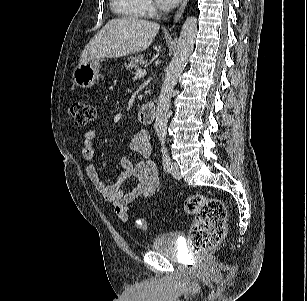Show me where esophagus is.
Instances as JSON below:
<instances>
[{
	"mask_svg": "<svg viewBox=\"0 0 307 301\" xmlns=\"http://www.w3.org/2000/svg\"><path fill=\"white\" fill-rule=\"evenodd\" d=\"M187 3H188V0H184L182 5L180 6L179 10L176 12L175 16H174V22H178L181 18V16L183 15L184 13V10L187 6Z\"/></svg>",
	"mask_w": 307,
	"mask_h": 301,
	"instance_id": "34e87169",
	"label": "esophagus"
}]
</instances>
